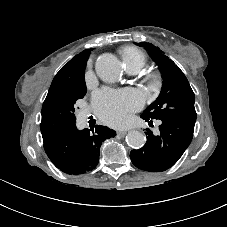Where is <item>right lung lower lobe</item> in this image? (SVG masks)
<instances>
[{
	"instance_id": "1",
	"label": "right lung lower lobe",
	"mask_w": 227,
	"mask_h": 227,
	"mask_svg": "<svg viewBox=\"0 0 227 227\" xmlns=\"http://www.w3.org/2000/svg\"><path fill=\"white\" fill-rule=\"evenodd\" d=\"M115 135L116 132L106 126L78 130L73 125L43 137V146L49 159L61 171L70 175L84 174L97 166L102 141Z\"/></svg>"
}]
</instances>
